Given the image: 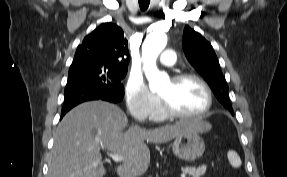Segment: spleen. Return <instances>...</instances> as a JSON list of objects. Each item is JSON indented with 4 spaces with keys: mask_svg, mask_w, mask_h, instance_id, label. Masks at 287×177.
I'll return each instance as SVG.
<instances>
[{
    "mask_svg": "<svg viewBox=\"0 0 287 177\" xmlns=\"http://www.w3.org/2000/svg\"><path fill=\"white\" fill-rule=\"evenodd\" d=\"M227 158H228L229 163L231 164V166L234 167V168H239L241 166V164H242L239 155L233 150H229L228 151Z\"/></svg>",
    "mask_w": 287,
    "mask_h": 177,
    "instance_id": "1",
    "label": "spleen"
}]
</instances>
